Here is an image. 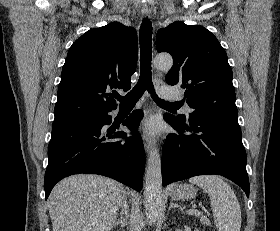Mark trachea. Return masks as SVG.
Listing matches in <instances>:
<instances>
[{
    "instance_id": "obj_1",
    "label": "trachea",
    "mask_w": 280,
    "mask_h": 231,
    "mask_svg": "<svg viewBox=\"0 0 280 231\" xmlns=\"http://www.w3.org/2000/svg\"><path fill=\"white\" fill-rule=\"evenodd\" d=\"M140 65L141 72L137 84L134 88L127 93L126 96H120L118 94L113 95L117 100L120 101V105H134L139 98L143 95L145 90H147L155 102L165 109L176 110L182 105L174 102H166L159 99L154 91V86L152 83V72H151V60H152V24L148 18L143 19L140 27Z\"/></svg>"
}]
</instances>
